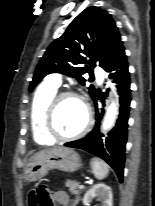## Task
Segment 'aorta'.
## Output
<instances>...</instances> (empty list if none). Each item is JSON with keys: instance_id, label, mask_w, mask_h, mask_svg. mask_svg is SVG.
I'll return each instance as SVG.
<instances>
[{"instance_id": "762f6f07", "label": "aorta", "mask_w": 155, "mask_h": 206, "mask_svg": "<svg viewBox=\"0 0 155 206\" xmlns=\"http://www.w3.org/2000/svg\"><path fill=\"white\" fill-rule=\"evenodd\" d=\"M117 112H118V106L115 102H112L111 105L107 109L106 116L103 122V129L107 130L112 127V125L114 124Z\"/></svg>"}]
</instances>
